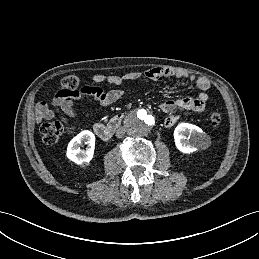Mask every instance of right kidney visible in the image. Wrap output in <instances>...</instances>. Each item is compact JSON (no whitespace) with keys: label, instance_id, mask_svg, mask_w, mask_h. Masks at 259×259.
Wrapping results in <instances>:
<instances>
[{"label":"right kidney","instance_id":"obj_1","mask_svg":"<svg viewBox=\"0 0 259 259\" xmlns=\"http://www.w3.org/2000/svg\"><path fill=\"white\" fill-rule=\"evenodd\" d=\"M87 144L86 150H81L80 145ZM95 135L88 130L80 132L68 144L66 155L76 164L89 163L94 155Z\"/></svg>","mask_w":259,"mask_h":259}]
</instances>
